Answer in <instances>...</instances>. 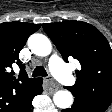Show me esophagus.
<instances>
[{
	"label": "esophagus",
	"instance_id": "34e87169",
	"mask_svg": "<svg viewBox=\"0 0 112 112\" xmlns=\"http://www.w3.org/2000/svg\"><path fill=\"white\" fill-rule=\"evenodd\" d=\"M45 82V90L49 93H54L58 90V86L56 83L53 81L51 77H47L44 79Z\"/></svg>",
	"mask_w": 112,
	"mask_h": 112
}]
</instances>
